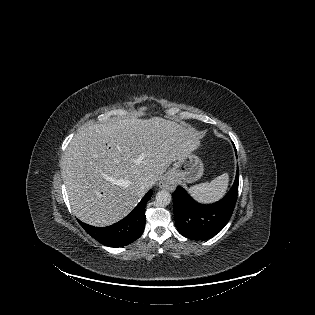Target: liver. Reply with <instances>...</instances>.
<instances>
[{
    "instance_id": "liver-1",
    "label": "liver",
    "mask_w": 315,
    "mask_h": 315,
    "mask_svg": "<svg viewBox=\"0 0 315 315\" xmlns=\"http://www.w3.org/2000/svg\"><path fill=\"white\" fill-rule=\"evenodd\" d=\"M200 144L195 130L160 117L94 124L78 131L61 174L74 215L107 226L130 213L166 169ZM149 187V188H150Z\"/></svg>"
}]
</instances>
